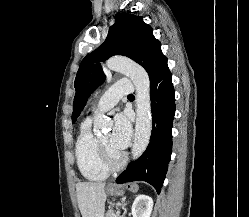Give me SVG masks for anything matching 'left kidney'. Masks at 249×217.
Segmentation results:
<instances>
[{
    "label": "left kidney",
    "instance_id": "left-kidney-1",
    "mask_svg": "<svg viewBox=\"0 0 249 217\" xmlns=\"http://www.w3.org/2000/svg\"><path fill=\"white\" fill-rule=\"evenodd\" d=\"M153 207V200L145 194L138 195L132 204L133 217H150Z\"/></svg>",
    "mask_w": 249,
    "mask_h": 217
}]
</instances>
